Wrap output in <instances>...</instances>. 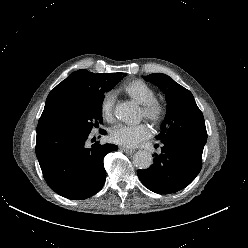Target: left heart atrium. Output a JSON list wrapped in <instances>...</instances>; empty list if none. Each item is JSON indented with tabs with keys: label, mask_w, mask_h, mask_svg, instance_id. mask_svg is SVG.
<instances>
[{
	"label": "left heart atrium",
	"mask_w": 248,
	"mask_h": 248,
	"mask_svg": "<svg viewBox=\"0 0 248 248\" xmlns=\"http://www.w3.org/2000/svg\"><path fill=\"white\" fill-rule=\"evenodd\" d=\"M150 135V129L145 123L134 125L119 124L111 130V139L125 147H135Z\"/></svg>",
	"instance_id": "obj_1"
}]
</instances>
